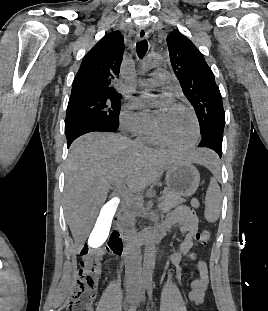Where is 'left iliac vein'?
Here are the masks:
<instances>
[{"label": "left iliac vein", "mask_w": 268, "mask_h": 311, "mask_svg": "<svg viewBox=\"0 0 268 311\" xmlns=\"http://www.w3.org/2000/svg\"><path fill=\"white\" fill-rule=\"evenodd\" d=\"M141 299H142V301H144V300H145V296H144V295H142Z\"/></svg>", "instance_id": "1"}]
</instances>
